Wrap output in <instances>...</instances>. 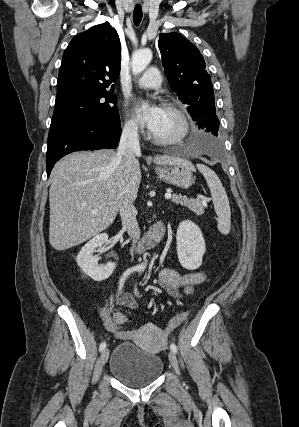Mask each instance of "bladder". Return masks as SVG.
<instances>
[{
	"mask_svg": "<svg viewBox=\"0 0 299 427\" xmlns=\"http://www.w3.org/2000/svg\"><path fill=\"white\" fill-rule=\"evenodd\" d=\"M164 369L160 356L131 341L120 342L110 360V372L126 386L139 388L155 382Z\"/></svg>",
	"mask_w": 299,
	"mask_h": 427,
	"instance_id": "1",
	"label": "bladder"
}]
</instances>
